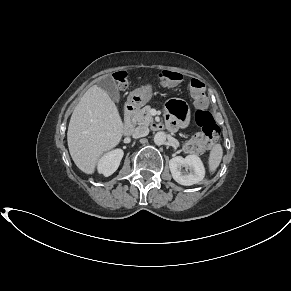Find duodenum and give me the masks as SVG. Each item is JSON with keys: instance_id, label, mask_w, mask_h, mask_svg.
<instances>
[{"instance_id": "duodenum-1", "label": "duodenum", "mask_w": 291, "mask_h": 291, "mask_svg": "<svg viewBox=\"0 0 291 291\" xmlns=\"http://www.w3.org/2000/svg\"><path fill=\"white\" fill-rule=\"evenodd\" d=\"M136 110L137 107L133 103H129L125 107L123 132L127 135L130 134L133 129L132 117L135 114Z\"/></svg>"}]
</instances>
